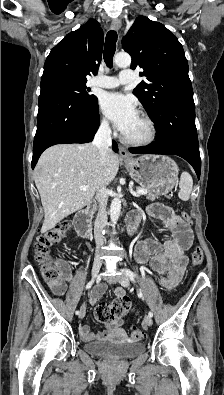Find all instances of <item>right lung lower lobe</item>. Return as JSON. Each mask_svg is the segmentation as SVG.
I'll use <instances>...</instances> for the list:
<instances>
[{"label": "right lung lower lobe", "instance_id": "98d812e1", "mask_svg": "<svg viewBox=\"0 0 224 395\" xmlns=\"http://www.w3.org/2000/svg\"><path fill=\"white\" fill-rule=\"evenodd\" d=\"M38 106L32 168L42 152L52 145L91 142L100 125L98 100L85 104L58 90L44 88ZM113 150L118 151L115 142Z\"/></svg>", "mask_w": 224, "mask_h": 395}]
</instances>
